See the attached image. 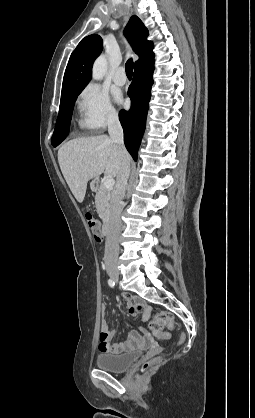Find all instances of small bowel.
Instances as JSON below:
<instances>
[{"label": "small bowel", "instance_id": "c3829d8e", "mask_svg": "<svg viewBox=\"0 0 255 418\" xmlns=\"http://www.w3.org/2000/svg\"><path fill=\"white\" fill-rule=\"evenodd\" d=\"M128 312L131 316L142 313L143 321L150 319V310L148 306L140 299H131L127 302ZM115 332L109 330V325L105 315V307L102 308V321L99 339V350L105 353L119 354L127 350L142 345L145 341L146 331L141 329L140 332H132L124 342L112 343Z\"/></svg>", "mask_w": 255, "mask_h": 418}]
</instances>
